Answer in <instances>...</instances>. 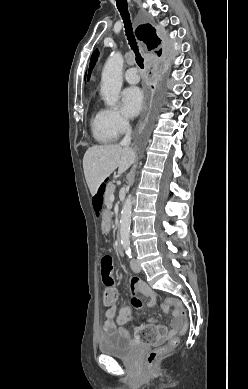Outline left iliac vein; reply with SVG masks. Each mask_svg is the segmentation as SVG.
<instances>
[{"instance_id":"obj_1","label":"left iliac vein","mask_w":248,"mask_h":389,"mask_svg":"<svg viewBox=\"0 0 248 389\" xmlns=\"http://www.w3.org/2000/svg\"><path fill=\"white\" fill-rule=\"evenodd\" d=\"M130 266H131V269H132L133 272H135V273L141 272V267H140L138 261L135 258H133L131 260Z\"/></svg>"}]
</instances>
